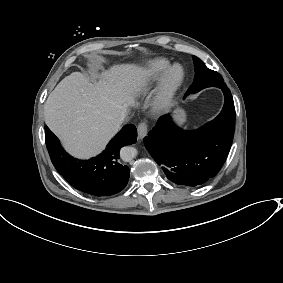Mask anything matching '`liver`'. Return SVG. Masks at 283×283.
I'll use <instances>...</instances> for the list:
<instances>
[{
    "mask_svg": "<svg viewBox=\"0 0 283 283\" xmlns=\"http://www.w3.org/2000/svg\"><path fill=\"white\" fill-rule=\"evenodd\" d=\"M152 75V69L135 64L114 65L93 84L82 73L73 72L48 96L45 123L70 154L90 158L118 132L119 116L128 114Z\"/></svg>",
    "mask_w": 283,
    "mask_h": 283,
    "instance_id": "6515ba94",
    "label": "liver"
}]
</instances>
